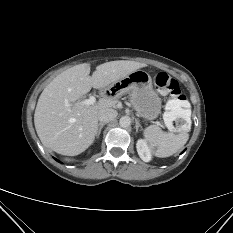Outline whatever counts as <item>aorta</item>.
I'll return each mask as SVG.
<instances>
[{
	"label": "aorta",
	"instance_id": "aorta-1",
	"mask_svg": "<svg viewBox=\"0 0 233 233\" xmlns=\"http://www.w3.org/2000/svg\"><path fill=\"white\" fill-rule=\"evenodd\" d=\"M119 125L122 128H127L131 125V118L129 116H122L119 120Z\"/></svg>",
	"mask_w": 233,
	"mask_h": 233
}]
</instances>
